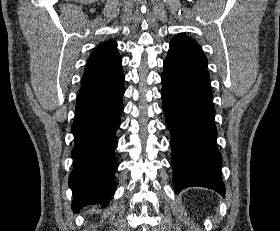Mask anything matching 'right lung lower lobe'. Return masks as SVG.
<instances>
[{
    "label": "right lung lower lobe",
    "mask_w": 280,
    "mask_h": 231,
    "mask_svg": "<svg viewBox=\"0 0 280 231\" xmlns=\"http://www.w3.org/2000/svg\"><path fill=\"white\" fill-rule=\"evenodd\" d=\"M124 92L121 85L92 99L76 101L71 127L74 166L69 176L74 212L89 204L106 206L114 192L118 167L115 132L120 126Z\"/></svg>",
    "instance_id": "right-lung-lower-lobe-1"
}]
</instances>
